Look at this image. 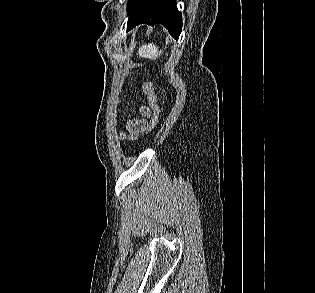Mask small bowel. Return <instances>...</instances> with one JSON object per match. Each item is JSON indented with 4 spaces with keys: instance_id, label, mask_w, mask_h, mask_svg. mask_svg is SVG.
Returning a JSON list of instances; mask_svg holds the SVG:
<instances>
[{
    "instance_id": "c3829d8e",
    "label": "small bowel",
    "mask_w": 315,
    "mask_h": 293,
    "mask_svg": "<svg viewBox=\"0 0 315 293\" xmlns=\"http://www.w3.org/2000/svg\"><path fill=\"white\" fill-rule=\"evenodd\" d=\"M142 114L144 117L138 119H131L127 122V130L129 133V138L134 139L138 137L141 133L145 132L148 127V121L145 117L150 115L149 110L143 109Z\"/></svg>"
}]
</instances>
